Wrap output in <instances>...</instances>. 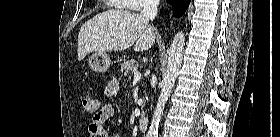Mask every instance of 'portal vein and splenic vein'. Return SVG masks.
I'll return each instance as SVG.
<instances>
[{
  "instance_id": "18ae733b",
  "label": "portal vein and splenic vein",
  "mask_w": 280,
  "mask_h": 137,
  "mask_svg": "<svg viewBox=\"0 0 280 137\" xmlns=\"http://www.w3.org/2000/svg\"><path fill=\"white\" fill-rule=\"evenodd\" d=\"M140 79H141V73L138 72V71L134 72L133 81H134V82H137V81H139Z\"/></svg>"
}]
</instances>
